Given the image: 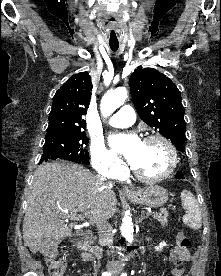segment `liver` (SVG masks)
<instances>
[{"label": "liver", "instance_id": "1", "mask_svg": "<svg viewBox=\"0 0 221 276\" xmlns=\"http://www.w3.org/2000/svg\"><path fill=\"white\" fill-rule=\"evenodd\" d=\"M114 191L82 165L50 162L34 172L23 221L24 244L32 253L56 248L72 235L73 219L83 213L91 222L116 212Z\"/></svg>", "mask_w": 221, "mask_h": 276}]
</instances>
